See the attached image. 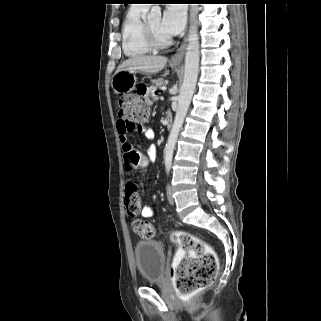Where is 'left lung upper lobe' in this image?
<instances>
[{"mask_svg":"<svg viewBox=\"0 0 321 321\" xmlns=\"http://www.w3.org/2000/svg\"><path fill=\"white\" fill-rule=\"evenodd\" d=\"M124 2H125V4H127V3H129L130 2V0H123Z\"/></svg>","mask_w":321,"mask_h":321,"instance_id":"1","label":"left lung upper lobe"}]
</instances>
